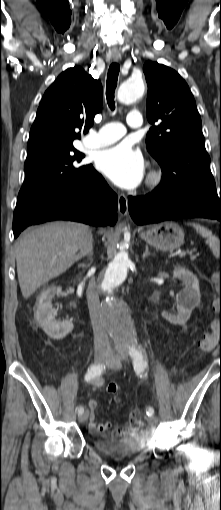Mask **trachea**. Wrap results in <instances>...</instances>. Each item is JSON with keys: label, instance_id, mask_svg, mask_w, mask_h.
Returning a JSON list of instances; mask_svg holds the SVG:
<instances>
[{"label": "trachea", "instance_id": "obj_1", "mask_svg": "<svg viewBox=\"0 0 221 510\" xmlns=\"http://www.w3.org/2000/svg\"><path fill=\"white\" fill-rule=\"evenodd\" d=\"M119 71L120 65L117 63H112L107 74L106 98L107 103L112 111L115 109L114 94L117 86Z\"/></svg>", "mask_w": 221, "mask_h": 510}]
</instances>
